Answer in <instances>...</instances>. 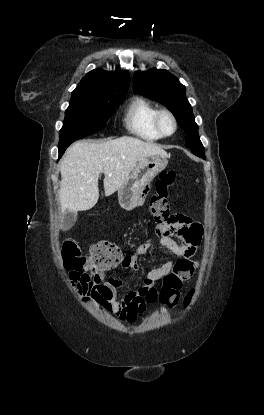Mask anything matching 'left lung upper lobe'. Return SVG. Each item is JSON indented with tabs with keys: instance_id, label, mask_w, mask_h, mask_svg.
I'll list each match as a JSON object with an SVG mask.
<instances>
[{
	"instance_id": "5c2ea615",
	"label": "left lung upper lobe",
	"mask_w": 264,
	"mask_h": 415,
	"mask_svg": "<svg viewBox=\"0 0 264 415\" xmlns=\"http://www.w3.org/2000/svg\"><path fill=\"white\" fill-rule=\"evenodd\" d=\"M133 91L166 105L186 132V147L192 152L204 151L185 86L177 77L164 69L137 71L133 78Z\"/></svg>"
}]
</instances>
